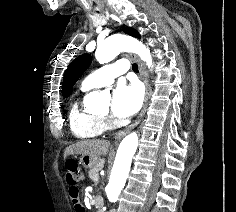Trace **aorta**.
<instances>
[{
	"mask_svg": "<svg viewBox=\"0 0 236 212\" xmlns=\"http://www.w3.org/2000/svg\"><path fill=\"white\" fill-rule=\"evenodd\" d=\"M123 51H132L140 56L151 68L153 66L150 50L141 42L121 34L108 37L98 45L95 57L99 63H107L113 60ZM109 95L104 92L92 91L86 95L84 104L88 108H95L104 101H109ZM138 147V135L136 132L128 134L120 143L116 158L113 164L109 182L105 188L107 198L110 202L115 203L125 186L132 158Z\"/></svg>",
	"mask_w": 236,
	"mask_h": 212,
	"instance_id": "1",
	"label": "aorta"
}]
</instances>
